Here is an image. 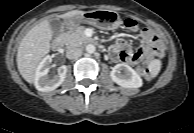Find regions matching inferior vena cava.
Instances as JSON below:
<instances>
[{
	"label": "inferior vena cava",
	"instance_id": "obj_1",
	"mask_svg": "<svg viewBox=\"0 0 194 133\" xmlns=\"http://www.w3.org/2000/svg\"><path fill=\"white\" fill-rule=\"evenodd\" d=\"M82 55V50L80 48H69L66 52V57L68 59H77Z\"/></svg>",
	"mask_w": 194,
	"mask_h": 133
}]
</instances>
